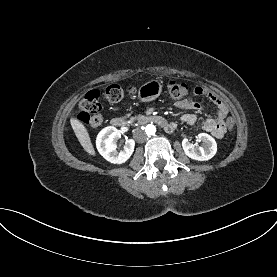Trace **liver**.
<instances>
[{"instance_id":"6515ba94","label":"liver","mask_w":277,"mask_h":277,"mask_svg":"<svg viewBox=\"0 0 277 277\" xmlns=\"http://www.w3.org/2000/svg\"><path fill=\"white\" fill-rule=\"evenodd\" d=\"M71 126L74 130L76 137L78 138V141L80 142L84 150L90 155L95 156L96 153H95L94 147L92 145L89 133L87 129L84 127V125L80 123L77 119L72 118Z\"/></svg>"}]
</instances>
